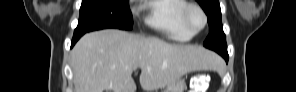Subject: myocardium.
Masks as SVG:
<instances>
[{
    "mask_svg": "<svg viewBox=\"0 0 296 92\" xmlns=\"http://www.w3.org/2000/svg\"><path fill=\"white\" fill-rule=\"evenodd\" d=\"M192 11H197L202 16L203 23H202L201 27H199V28H194L190 22V13ZM182 21H183L184 26L187 28V30L194 35V34L201 32L206 27L207 22H208V18H207L205 11L199 5L194 4V3H189V4H187V6L185 7V9L183 11Z\"/></svg>",
    "mask_w": 296,
    "mask_h": 92,
    "instance_id": "myocardium-1",
    "label": "myocardium"
}]
</instances>
